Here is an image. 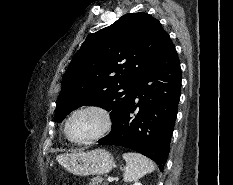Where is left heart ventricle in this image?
Masks as SVG:
<instances>
[{
    "label": "left heart ventricle",
    "instance_id": "b2bd125f",
    "mask_svg": "<svg viewBox=\"0 0 233 185\" xmlns=\"http://www.w3.org/2000/svg\"><path fill=\"white\" fill-rule=\"evenodd\" d=\"M103 123V117L98 112L84 111L72 118L69 133L75 140H85L97 134Z\"/></svg>",
    "mask_w": 233,
    "mask_h": 185
}]
</instances>
